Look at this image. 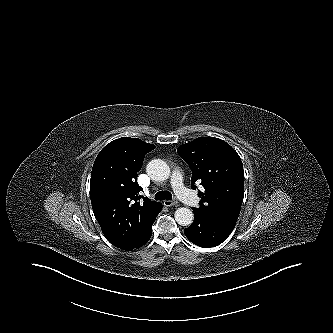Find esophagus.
Listing matches in <instances>:
<instances>
[{
    "instance_id": "34e87169",
    "label": "esophagus",
    "mask_w": 333,
    "mask_h": 333,
    "mask_svg": "<svg viewBox=\"0 0 333 333\" xmlns=\"http://www.w3.org/2000/svg\"><path fill=\"white\" fill-rule=\"evenodd\" d=\"M164 205H165L166 207L175 206V205H177V201L165 200V201H164Z\"/></svg>"
}]
</instances>
